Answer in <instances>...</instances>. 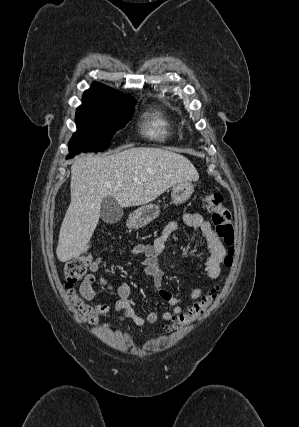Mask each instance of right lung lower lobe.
Instances as JSON below:
<instances>
[{
    "instance_id": "obj_1",
    "label": "right lung lower lobe",
    "mask_w": 299,
    "mask_h": 427,
    "mask_svg": "<svg viewBox=\"0 0 299 427\" xmlns=\"http://www.w3.org/2000/svg\"><path fill=\"white\" fill-rule=\"evenodd\" d=\"M71 157H73V156L69 154V155L67 156V159H68V158H71Z\"/></svg>"
}]
</instances>
